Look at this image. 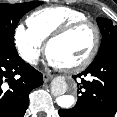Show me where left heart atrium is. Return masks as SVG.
I'll return each instance as SVG.
<instances>
[{
  "mask_svg": "<svg viewBox=\"0 0 117 117\" xmlns=\"http://www.w3.org/2000/svg\"><path fill=\"white\" fill-rule=\"evenodd\" d=\"M48 64L53 68H63L62 65H60L58 62H56L54 59L48 56Z\"/></svg>",
  "mask_w": 117,
  "mask_h": 117,
  "instance_id": "1",
  "label": "left heart atrium"
}]
</instances>
